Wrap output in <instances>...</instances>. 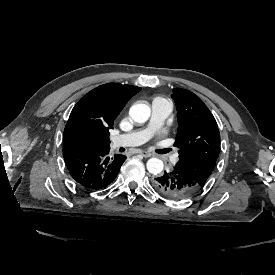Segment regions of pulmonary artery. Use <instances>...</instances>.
Segmentation results:
<instances>
[{"label":"pulmonary artery","mask_w":275,"mask_h":275,"mask_svg":"<svg viewBox=\"0 0 275 275\" xmlns=\"http://www.w3.org/2000/svg\"><path fill=\"white\" fill-rule=\"evenodd\" d=\"M152 109L155 113L152 117L149 129L136 130L126 134H121L112 139L111 146L113 148L138 146L145 140L151 139L153 136L152 130L154 129V126H158V129L160 128L166 114H168L171 110V103L164 97H157L152 102ZM143 133H146V136H143ZM148 133H151V136H148ZM168 159L172 166H175L180 161L178 154L175 152L170 153Z\"/></svg>","instance_id":"obj_1"}]
</instances>
